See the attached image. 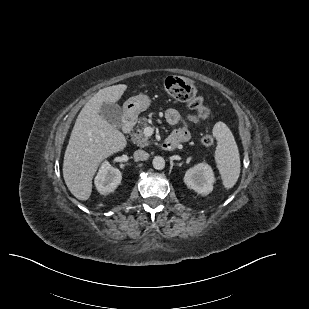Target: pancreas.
<instances>
[{
	"label": "pancreas",
	"mask_w": 309,
	"mask_h": 309,
	"mask_svg": "<svg viewBox=\"0 0 309 309\" xmlns=\"http://www.w3.org/2000/svg\"><path fill=\"white\" fill-rule=\"evenodd\" d=\"M147 126L146 118L140 119L136 132L131 133V140L140 147H145L150 145L149 138L144 135V128Z\"/></svg>",
	"instance_id": "pancreas-1"
}]
</instances>
